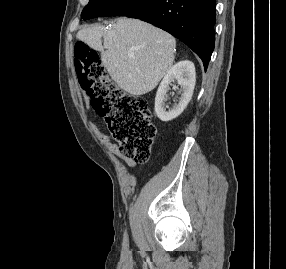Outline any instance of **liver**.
<instances>
[{"instance_id": "obj_1", "label": "liver", "mask_w": 286, "mask_h": 269, "mask_svg": "<svg viewBox=\"0 0 286 269\" xmlns=\"http://www.w3.org/2000/svg\"><path fill=\"white\" fill-rule=\"evenodd\" d=\"M77 38L101 52L111 78L131 95L152 91L173 64L174 37L138 19L119 18L109 30L101 25L84 28Z\"/></svg>"}]
</instances>
